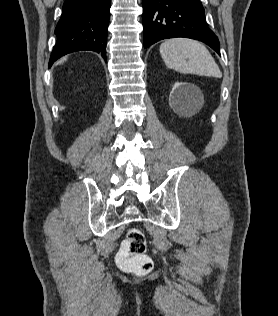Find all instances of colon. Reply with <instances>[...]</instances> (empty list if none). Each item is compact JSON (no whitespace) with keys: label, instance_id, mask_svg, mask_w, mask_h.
<instances>
[{"label":"colon","instance_id":"5ec220e1","mask_svg":"<svg viewBox=\"0 0 278 316\" xmlns=\"http://www.w3.org/2000/svg\"><path fill=\"white\" fill-rule=\"evenodd\" d=\"M147 240L139 228H131L117 253L118 266L129 272L148 273L152 270V260L146 255Z\"/></svg>","mask_w":278,"mask_h":316}]
</instances>
